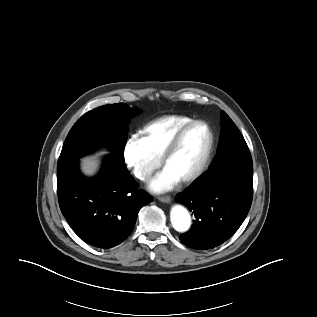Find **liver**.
I'll return each instance as SVG.
<instances>
[{
	"instance_id": "1",
	"label": "liver",
	"mask_w": 317,
	"mask_h": 317,
	"mask_svg": "<svg viewBox=\"0 0 317 317\" xmlns=\"http://www.w3.org/2000/svg\"><path fill=\"white\" fill-rule=\"evenodd\" d=\"M104 153L105 152H100L98 155H102ZM96 157L97 156L86 157L81 160V170L85 175L91 176L97 171L99 162Z\"/></svg>"
}]
</instances>
